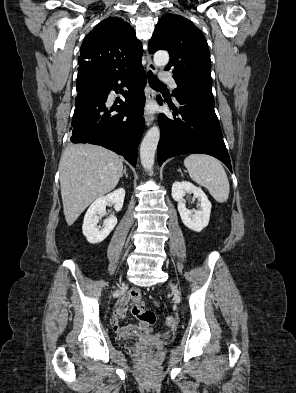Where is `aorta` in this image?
<instances>
[{
    "label": "aorta",
    "instance_id": "762f6f07",
    "mask_svg": "<svg viewBox=\"0 0 296 393\" xmlns=\"http://www.w3.org/2000/svg\"><path fill=\"white\" fill-rule=\"evenodd\" d=\"M154 63L157 66L166 65L169 61V54L166 51H157L154 54ZM160 138V129L154 125L151 127L140 146V161L145 170L151 171L153 169L155 152Z\"/></svg>",
    "mask_w": 296,
    "mask_h": 393
}]
</instances>
